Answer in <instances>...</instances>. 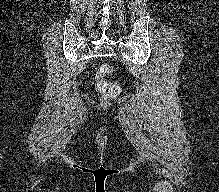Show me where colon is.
<instances>
[{"instance_id":"5ec220e1","label":"colon","mask_w":219,"mask_h":192,"mask_svg":"<svg viewBox=\"0 0 219 192\" xmlns=\"http://www.w3.org/2000/svg\"><path fill=\"white\" fill-rule=\"evenodd\" d=\"M113 72L109 64H103L96 73V87L105 99H115L122 93V88L117 82L108 81L106 77Z\"/></svg>"}]
</instances>
